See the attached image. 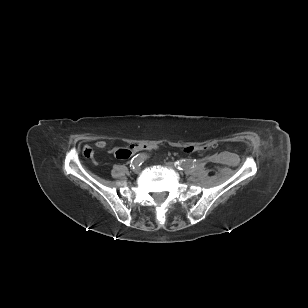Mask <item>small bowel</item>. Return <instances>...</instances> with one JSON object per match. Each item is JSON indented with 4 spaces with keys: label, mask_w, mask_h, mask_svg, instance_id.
I'll return each instance as SVG.
<instances>
[{
    "label": "small bowel",
    "mask_w": 308,
    "mask_h": 308,
    "mask_svg": "<svg viewBox=\"0 0 308 308\" xmlns=\"http://www.w3.org/2000/svg\"><path fill=\"white\" fill-rule=\"evenodd\" d=\"M95 145H96V147L97 148H99V149H105L106 148V146H107V144H106V142L104 141V140H98L96 143H95ZM143 145H145V144H143ZM152 149V148H151ZM119 149H117L116 151H115V154L117 153V151H118ZM136 151H133V152H131V154L132 153H135ZM215 159H217V157H214Z\"/></svg>",
    "instance_id": "c3829d8e"
}]
</instances>
